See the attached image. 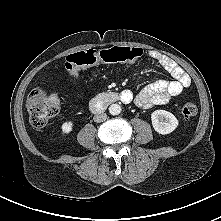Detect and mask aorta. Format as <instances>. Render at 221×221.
<instances>
[{
  "mask_svg": "<svg viewBox=\"0 0 221 221\" xmlns=\"http://www.w3.org/2000/svg\"><path fill=\"white\" fill-rule=\"evenodd\" d=\"M121 106L119 104H112L109 107V113L111 115H118L121 113Z\"/></svg>",
  "mask_w": 221,
  "mask_h": 221,
  "instance_id": "762f6f07",
  "label": "aorta"
}]
</instances>
